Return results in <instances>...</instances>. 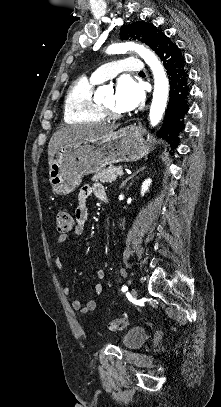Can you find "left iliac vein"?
<instances>
[{
    "label": "left iliac vein",
    "instance_id": "1",
    "mask_svg": "<svg viewBox=\"0 0 221 407\" xmlns=\"http://www.w3.org/2000/svg\"><path fill=\"white\" fill-rule=\"evenodd\" d=\"M131 296L136 299L138 297V292L135 288H132L131 290Z\"/></svg>",
    "mask_w": 221,
    "mask_h": 407
}]
</instances>
